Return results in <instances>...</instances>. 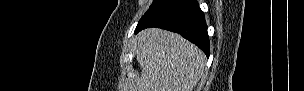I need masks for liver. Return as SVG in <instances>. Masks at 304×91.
I'll return each instance as SVG.
<instances>
[{"label": "liver", "instance_id": "1", "mask_svg": "<svg viewBox=\"0 0 304 91\" xmlns=\"http://www.w3.org/2000/svg\"><path fill=\"white\" fill-rule=\"evenodd\" d=\"M136 39L142 72L133 91H192L203 76L204 53L179 34L150 28Z\"/></svg>", "mask_w": 304, "mask_h": 91}]
</instances>
